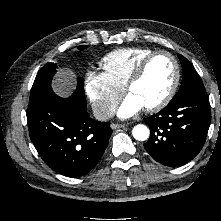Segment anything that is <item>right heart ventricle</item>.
I'll list each match as a JSON object with an SVG mask.
<instances>
[{
  "mask_svg": "<svg viewBox=\"0 0 221 221\" xmlns=\"http://www.w3.org/2000/svg\"><path fill=\"white\" fill-rule=\"evenodd\" d=\"M151 52L152 49L144 47L116 49L102 58L101 66L116 85L124 88L138 63Z\"/></svg>",
  "mask_w": 221,
  "mask_h": 221,
  "instance_id": "e07e8e85",
  "label": "right heart ventricle"
}]
</instances>
